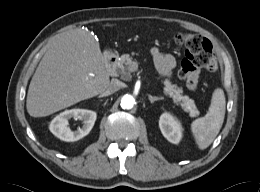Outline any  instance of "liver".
Wrapping results in <instances>:
<instances>
[{"mask_svg":"<svg viewBox=\"0 0 260 192\" xmlns=\"http://www.w3.org/2000/svg\"><path fill=\"white\" fill-rule=\"evenodd\" d=\"M104 56L91 32L69 31L41 59L29 85L30 116L45 117L104 92L109 86Z\"/></svg>","mask_w":260,"mask_h":192,"instance_id":"obj_1","label":"liver"}]
</instances>
